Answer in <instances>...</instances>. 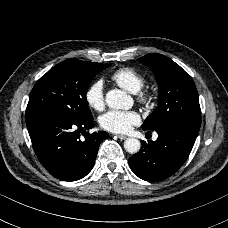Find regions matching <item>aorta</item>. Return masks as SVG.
<instances>
[{
  "label": "aorta",
  "instance_id": "obj_1",
  "mask_svg": "<svg viewBox=\"0 0 228 228\" xmlns=\"http://www.w3.org/2000/svg\"><path fill=\"white\" fill-rule=\"evenodd\" d=\"M105 103L114 110L129 109L133 105V99L122 90L110 89L105 95ZM140 147V141L135 138H129L124 142L125 150L131 154L137 153Z\"/></svg>",
  "mask_w": 228,
  "mask_h": 228
}]
</instances>
